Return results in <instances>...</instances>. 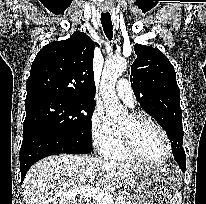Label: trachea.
<instances>
[{"mask_svg":"<svg viewBox=\"0 0 206 204\" xmlns=\"http://www.w3.org/2000/svg\"><path fill=\"white\" fill-rule=\"evenodd\" d=\"M101 24L104 30L106 37L109 40L113 38V26L111 21V15L109 13H102L101 14Z\"/></svg>","mask_w":206,"mask_h":204,"instance_id":"trachea-1","label":"trachea"}]
</instances>
